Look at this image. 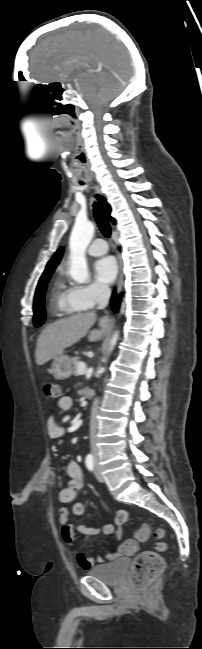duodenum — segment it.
<instances>
[{
  "label": "duodenum",
  "instance_id": "410a0bca",
  "mask_svg": "<svg viewBox=\"0 0 202 649\" xmlns=\"http://www.w3.org/2000/svg\"><path fill=\"white\" fill-rule=\"evenodd\" d=\"M85 395H87L88 397H93L95 395V391L92 389H86Z\"/></svg>",
  "mask_w": 202,
  "mask_h": 649
}]
</instances>
